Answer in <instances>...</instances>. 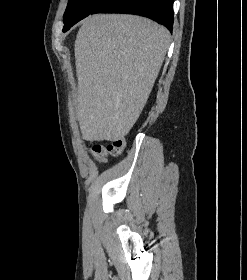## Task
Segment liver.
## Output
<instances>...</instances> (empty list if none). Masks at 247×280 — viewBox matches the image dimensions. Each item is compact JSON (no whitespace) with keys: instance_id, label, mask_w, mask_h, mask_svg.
Listing matches in <instances>:
<instances>
[{"instance_id":"1","label":"liver","mask_w":247,"mask_h":280,"mask_svg":"<svg viewBox=\"0 0 247 280\" xmlns=\"http://www.w3.org/2000/svg\"><path fill=\"white\" fill-rule=\"evenodd\" d=\"M170 42L169 31L127 14L86 18L75 40L77 115L91 140L123 138L141 114Z\"/></svg>"}]
</instances>
